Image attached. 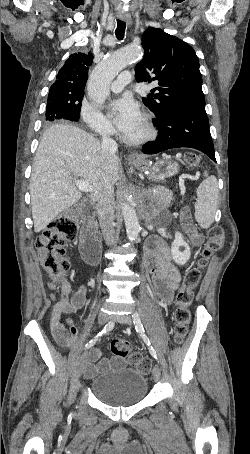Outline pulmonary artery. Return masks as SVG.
<instances>
[{"label":"pulmonary artery","mask_w":250,"mask_h":454,"mask_svg":"<svg viewBox=\"0 0 250 454\" xmlns=\"http://www.w3.org/2000/svg\"><path fill=\"white\" fill-rule=\"evenodd\" d=\"M132 71L130 70H126V71H123L121 74H119V76L117 77L116 80H114L111 85H110V89L111 91L113 92H120L123 90V88L131 82L132 80Z\"/></svg>","instance_id":"pulmonary-artery-1"}]
</instances>
